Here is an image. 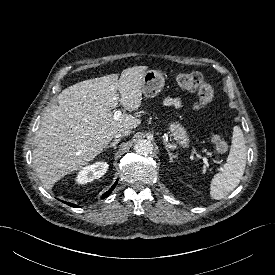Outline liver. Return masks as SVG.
Masks as SVG:
<instances>
[{"instance_id":"liver-1","label":"liver","mask_w":275,"mask_h":275,"mask_svg":"<svg viewBox=\"0 0 275 275\" xmlns=\"http://www.w3.org/2000/svg\"><path fill=\"white\" fill-rule=\"evenodd\" d=\"M146 70L147 66H134L120 77L110 74L85 80L58 95V105L46 110L34 139L33 164L46 189L92 161L117 132L141 124L131 114L115 120L112 110L119 102L128 111L140 107Z\"/></svg>"}]
</instances>
